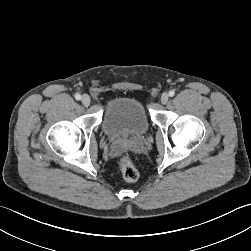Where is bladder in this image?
I'll return each mask as SVG.
<instances>
[{
    "instance_id": "31cf9c89",
    "label": "bladder",
    "mask_w": 251,
    "mask_h": 251,
    "mask_svg": "<svg viewBox=\"0 0 251 251\" xmlns=\"http://www.w3.org/2000/svg\"><path fill=\"white\" fill-rule=\"evenodd\" d=\"M102 129L111 139L139 137L149 129L148 115L137 98L114 97L104 108Z\"/></svg>"
}]
</instances>
